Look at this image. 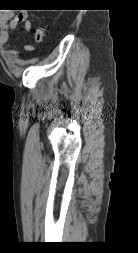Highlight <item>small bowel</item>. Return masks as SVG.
Returning <instances> with one entry per match:
<instances>
[{"label": "small bowel", "mask_w": 138, "mask_h": 253, "mask_svg": "<svg viewBox=\"0 0 138 253\" xmlns=\"http://www.w3.org/2000/svg\"><path fill=\"white\" fill-rule=\"evenodd\" d=\"M19 25H23L26 31H30L32 24L28 19V15L25 12L13 14L12 11H3L0 13V45H8L10 40V32ZM25 50L32 51L31 45L23 46ZM8 53L13 56H18L19 52L15 49H9Z\"/></svg>", "instance_id": "c3829d8e"}]
</instances>
